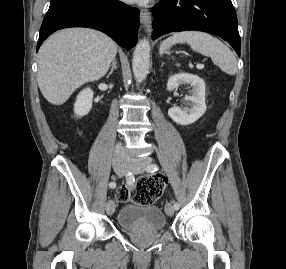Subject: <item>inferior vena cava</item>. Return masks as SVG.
<instances>
[{
  "label": "inferior vena cava",
  "instance_id": "1",
  "mask_svg": "<svg viewBox=\"0 0 286 269\" xmlns=\"http://www.w3.org/2000/svg\"><path fill=\"white\" fill-rule=\"evenodd\" d=\"M127 157L128 155L123 145L121 143H118L114 151L115 160H126Z\"/></svg>",
  "mask_w": 286,
  "mask_h": 269
}]
</instances>
